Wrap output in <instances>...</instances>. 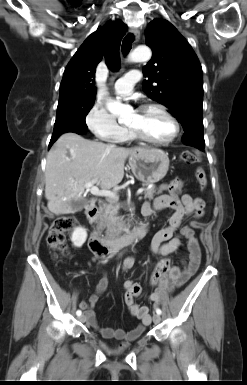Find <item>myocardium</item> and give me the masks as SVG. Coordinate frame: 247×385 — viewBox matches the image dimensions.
Here are the masks:
<instances>
[{"mask_svg":"<svg viewBox=\"0 0 247 385\" xmlns=\"http://www.w3.org/2000/svg\"><path fill=\"white\" fill-rule=\"evenodd\" d=\"M150 110L160 111L163 115H165L168 118V120L171 122L173 126L172 135L165 140H153V139L147 138L135 128L128 127L132 137L142 142H145L147 144H151L155 146H165V145L171 144L173 141L176 140V138L179 136V133H180V124L178 120L172 115V113L168 111L167 108H165L163 105H160V104H145L138 109V111H141V112L150 111Z\"/></svg>","mask_w":247,"mask_h":385,"instance_id":"f54148a6","label":"myocardium"}]
</instances>
